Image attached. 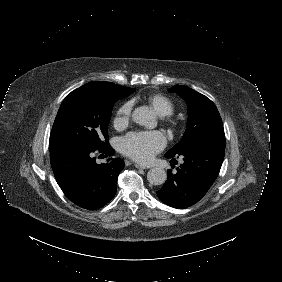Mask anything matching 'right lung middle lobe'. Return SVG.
<instances>
[{
	"label": "right lung middle lobe",
	"mask_w": 282,
	"mask_h": 282,
	"mask_svg": "<svg viewBox=\"0 0 282 282\" xmlns=\"http://www.w3.org/2000/svg\"><path fill=\"white\" fill-rule=\"evenodd\" d=\"M135 91L111 82L94 81L72 91L62 102L50 135V152L70 145L104 147L111 108Z\"/></svg>",
	"instance_id": "right-lung-middle-lobe-1"
}]
</instances>
